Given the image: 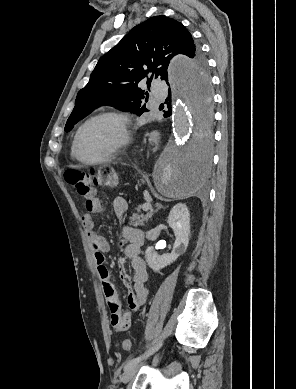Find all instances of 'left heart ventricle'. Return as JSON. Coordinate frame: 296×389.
I'll return each instance as SVG.
<instances>
[{"instance_id": "1", "label": "left heart ventricle", "mask_w": 296, "mask_h": 389, "mask_svg": "<svg viewBox=\"0 0 296 389\" xmlns=\"http://www.w3.org/2000/svg\"><path fill=\"white\" fill-rule=\"evenodd\" d=\"M121 137L119 123L113 118H102L89 124L82 132L79 153L93 160L106 154Z\"/></svg>"}]
</instances>
